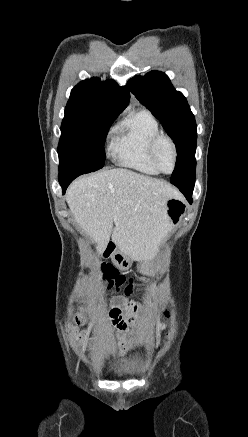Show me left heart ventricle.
<instances>
[{
	"label": "left heart ventricle",
	"instance_id": "1",
	"mask_svg": "<svg viewBox=\"0 0 248 437\" xmlns=\"http://www.w3.org/2000/svg\"><path fill=\"white\" fill-rule=\"evenodd\" d=\"M158 161L161 168L169 172L173 166V152L170 144L167 141H162L158 147Z\"/></svg>",
	"mask_w": 248,
	"mask_h": 437
}]
</instances>
